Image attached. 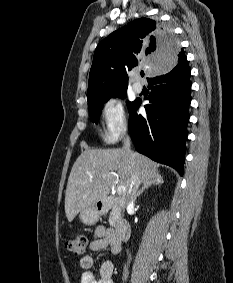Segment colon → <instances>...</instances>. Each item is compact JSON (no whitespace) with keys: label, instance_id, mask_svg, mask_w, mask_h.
I'll return each instance as SVG.
<instances>
[{"label":"colon","instance_id":"colon-1","mask_svg":"<svg viewBox=\"0 0 233 283\" xmlns=\"http://www.w3.org/2000/svg\"><path fill=\"white\" fill-rule=\"evenodd\" d=\"M87 246V238L84 235H78L66 243V248L75 255H82Z\"/></svg>","mask_w":233,"mask_h":283}]
</instances>
